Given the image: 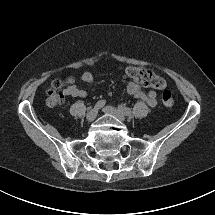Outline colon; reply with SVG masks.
Here are the masks:
<instances>
[{"label":"colon","instance_id":"1","mask_svg":"<svg viewBox=\"0 0 215 215\" xmlns=\"http://www.w3.org/2000/svg\"><path fill=\"white\" fill-rule=\"evenodd\" d=\"M124 73L127 77L141 83L146 87L155 89H164L162 93V102L165 106L171 107L174 104L173 96L166 87L165 80L154 73L153 71L137 66H128L124 69ZM72 80L56 79L52 82L51 88L47 92L46 104L49 107H56L63 102V95L61 89L68 84H71Z\"/></svg>","mask_w":215,"mask_h":215}]
</instances>
